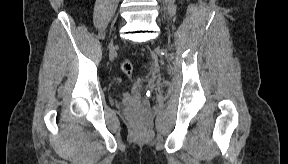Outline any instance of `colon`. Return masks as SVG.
<instances>
[{
  "label": "colon",
  "mask_w": 288,
  "mask_h": 164,
  "mask_svg": "<svg viewBox=\"0 0 288 164\" xmlns=\"http://www.w3.org/2000/svg\"><path fill=\"white\" fill-rule=\"evenodd\" d=\"M121 69L127 76L130 77L132 75V73H133L134 65H133L132 61L124 60L121 63Z\"/></svg>",
  "instance_id": "5ec220e1"
}]
</instances>
